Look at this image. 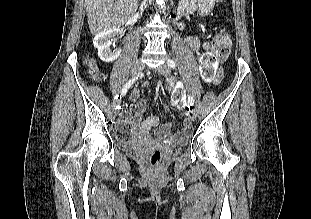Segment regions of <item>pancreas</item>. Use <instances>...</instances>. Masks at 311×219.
I'll return each instance as SVG.
<instances>
[{"label":"pancreas","mask_w":311,"mask_h":219,"mask_svg":"<svg viewBox=\"0 0 311 219\" xmlns=\"http://www.w3.org/2000/svg\"><path fill=\"white\" fill-rule=\"evenodd\" d=\"M196 2L197 0H185L184 5L187 9L192 10L196 7Z\"/></svg>","instance_id":"obj_1"}]
</instances>
